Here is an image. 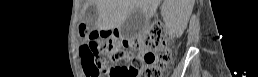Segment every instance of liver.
<instances>
[{"label":"liver","mask_w":258,"mask_h":77,"mask_svg":"<svg viewBox=\"0 0 258 77\" xmlns=\"http://www.w3.org/2000/svg\"><path fill=\"white\" fill-rule=\"evenodd\" d=\"M160 2L161 0H99L97 2L99 28L108 30L121 27L136 8L147 17H151ZM194 2L195 0H166L164 9L173 8L182 23L187 24Z\"/></svg>","instance_id":"6515ba94"}]
</instances>
